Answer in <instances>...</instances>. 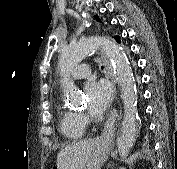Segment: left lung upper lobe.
I'll list each match as a JSON object with an SVG mask.
<instances>
[{
	"label": "left lung upper lobe",
	"mask_w": 177,
	"mask_h": 169,
	"mask_svg": "<svg viewBox=\"0 0 177 169\" xmlns=\"http://www.w3.org/2000/svg\"><path fill=\"white\" fill-rule=\"evenodd\" d=\"M94 17L96 18V20H97L98 22H100V19H99L98 16H94ZM115 39H116L117 41H120V37H119V36L115 37Z\"/></svg>",
	"instance_id": "left-lung-upper-lobe-1"
}]
</instances>
